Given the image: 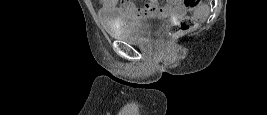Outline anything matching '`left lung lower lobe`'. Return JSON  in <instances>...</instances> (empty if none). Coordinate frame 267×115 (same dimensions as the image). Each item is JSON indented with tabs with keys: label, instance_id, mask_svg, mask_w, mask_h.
<instances>
[{
	"label": "left lung lower lobe",
	"instance_id": "obj_1",
	"mask_svg": "<svg viewBox=\"0 0 267 115\" xmlns=\"http://www.w3.org/2000/svg\"><path fill=\"white\" fill-rule=\"evenodd\" d=\"M149 87H159V86H145V87H141V88H149Z\"/></svg>",
	"mask_w": 267,
	"mask_h": 115
}]
</instances>
